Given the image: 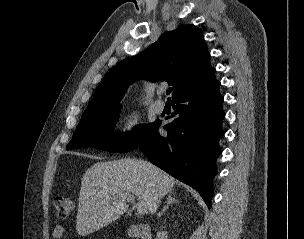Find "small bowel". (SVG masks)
<instances>
[{"mask_svg": "<svg viewBox=\"0 0 304 239\" xmlns=\"http://www.w3.org/2000/svg\"><path fill=\"white\" fill-rule=\"evenodd\" d=\"M63 232H64V227L62 225L56 226V228L54 229V231L52 233V238L60 239L63 235Z\"/></svg>", "mask_w": 304, "mask_h": 239, "instance_id": "small-bowel-1", "label": "small bowel"}]
</instances>
